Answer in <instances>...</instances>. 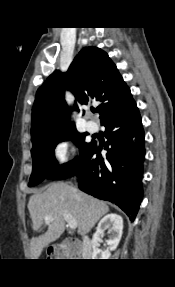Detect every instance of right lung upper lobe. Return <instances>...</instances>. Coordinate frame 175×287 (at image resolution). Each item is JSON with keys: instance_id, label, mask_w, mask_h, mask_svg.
I'll return each instance as SVG.
<instances>
[{"instance_id": "cb5924a9", "label": "right lung upper lobe", "mask_w": 175, "mask_h": 287, "mask_svg": "<svg viewBox=\"0 0 175 287\" xmlns=\"http://www.w3.org/2000/svg\"><path fill=\"white\" fill-rule=\"evenodd\" d=\"M65 90L71 91L81 105L99 101L100 119L133 100L108 54L97 47H85L66 73L55 71L37 90L32 109V143L75 128L70 113L79 109L76 103L74 108L68 107Z\"/></svg>"}]
</instances>
